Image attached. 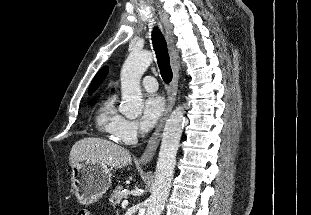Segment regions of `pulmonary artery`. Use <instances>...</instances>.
Instances as JSON below:
<instances>
[{
	"label": "pulmonary artery",
	"instance_id": "obj_1",
	"mask_svg": "<svg viewBox=\"0 0 311 215\" xmlns=\"http://www.w3.org/2000/svg\"><path fill=\"white\" fill-rule=\"evenodd\" d=\"M142 86L148 92H155L158 88V83L154 77L146 76L142 80Z\"/></svg>",
	"mask_w": 311,
	"mask_h": 215
}]
</instances>
